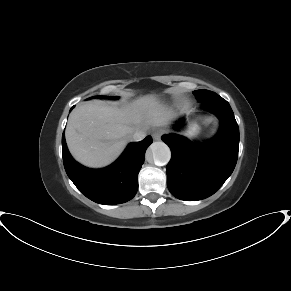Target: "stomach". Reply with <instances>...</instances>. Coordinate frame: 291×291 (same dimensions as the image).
<instances>
[{
  "mask_svg": "<svg viewBox=\"0 0 291 291\" xmlns=\"http://www.w3.org/2000/svg\"><path fill=\"white\" fill-rule=\"evenodd\" d=\"M199 133V126L196 124H191L187 132L185 133L189 137H194Z\"/></svg>",
  "mask_w": 291,
  "mask_h": 291,
  "instance_id": "stomach-1",
  "label": "stomach"
}]
</instances>
